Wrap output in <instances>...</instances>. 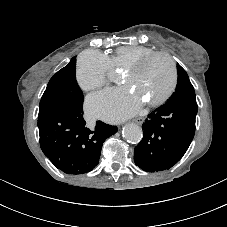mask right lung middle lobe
Returning a JSON list of instances; mask_svg holds the SVG:
<instances>
[{
    "mask_svg": "<svg viewBox=\"0 0 227 227\" xmlns=\"http://www.w3.org/2000/svg\"><path fill=\"white\" fill-rule=\"evenodd\" d=\"M76 59L71 61L50 79L40 100L39 116L51 110L67 106L82 107L84 97L75 78Z\"/></svg>",
    "mask_w": 227,
    "mask_h": 227,
    "instance_id": "right-lung-middle-lobe-1",
    "label": "right lung middle lobe"
}]
</instances>
